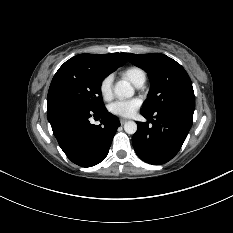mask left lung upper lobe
<instances>
[{"instance_id":"obj_1","label":"left lung upper lobe","mask_w":233,"mask_h":233,"mask_svg":"<svg viewBox=\"0 0 233 233\" xmlns=\"http://www.w3.org/2000/svg\"><path fill=\"white\" fill-rule=\"evenodd\" d=\"M124 56L129 62L145 70L149 76L151 92L143 111L150 114L163 110L194 113L192 82L179 63L160 53H124Z\"/></svg>"}]
</instances>
